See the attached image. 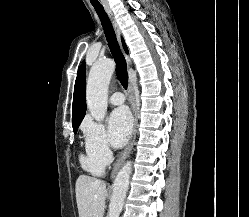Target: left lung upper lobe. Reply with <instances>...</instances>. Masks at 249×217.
I'll return each mask as SVG.
<instances>
[{"label": "left lung upper lobe", "mask_w": 249, "mask_h": 217, "mask_svg": "<svg viewBox=\"0 0 249 217\" xmlns=\"http://www.w3.org/2000/svg\"><path fill=\"white\" fill-rule=\"evenodd\" d=\"M82 67L85 68V62H83V66Z\"/></svg>", "instance_id": "obj_1"}]
</instances>
